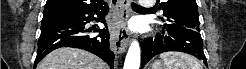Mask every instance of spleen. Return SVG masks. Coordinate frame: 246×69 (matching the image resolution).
I'll return each mask as SVG.
<instances>
[{
	"mask_svg": "<svg viewBox=\"0 0 246 69\" xmlns=\"http://www.w3.org/2000/svg\"><path fill=\"white\" fill-rule=\"evenodd\" d=\"M167 69H202L198 61L187 54L166 52L160 55Z\"/></svg>",
	"mask_w": 246,
	"mask_h": 69,
	"instance_id": "1",
	"label": "spleen"
}]
</instances>
